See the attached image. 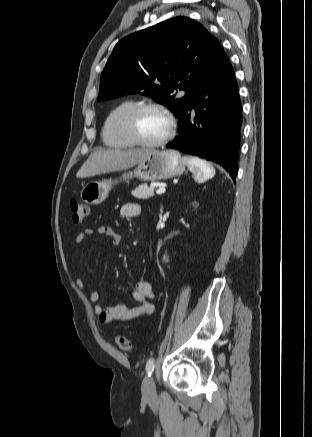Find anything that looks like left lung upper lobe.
<instances>
[{
    "mask_svg": "<svg viewBox=\"0 0 312 437\" xmlns=\"http://www.w3.org/2000/svg\"><path fill=\"white\" fill-rule=\"evenodd\" d=\"M225 55L196 21L176 17L120 40L100 79L98 101L140 93L166 105L179 119ZM185 90L176 99L171 93Z\"/></svg>",
    "mask_w": 312,
    "mask_h": 437,
    "instance_id": "left-lung-upper-lobe-1",
    "label": "left lung upper lobe"
}]
</instances>
